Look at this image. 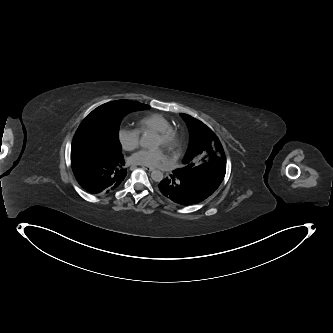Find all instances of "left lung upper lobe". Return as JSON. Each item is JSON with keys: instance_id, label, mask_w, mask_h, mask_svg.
I'll use <instances>...</instances> for the list:
<instances>
[{"instance_id": "1", "label": "left lung upper lobe", "mask_w": 333, "mask_h": 333, "mask_svg": "<svg viewBox=\"0 0 333 333\" xmlns=\"http://www.w3.org/2000/svg\"><path fill=\"white\" fill-rule=\"evenodd\" d=\"M186 121L190 134V146L182 163V168L176 169L180 176L189 178L204 187L208 192L214 193L221 184L226 172V160L222 145L214 132L201 121L187 115L180 114ZM205 153L208 161L198 162ZM207 158V156H205Z\"/></svg>"}]
</instances>
